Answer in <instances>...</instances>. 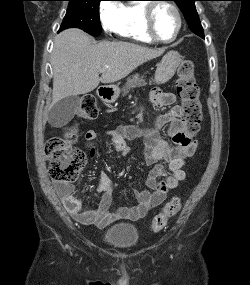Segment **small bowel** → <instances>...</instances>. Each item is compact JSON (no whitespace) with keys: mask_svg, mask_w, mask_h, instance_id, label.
<instances>
[{"mask_svg":"<svg viewBox=\"0 0 250 285\" xmlns=\"http://www.w3.org/2000/svg\"><path fill=\"white\" fill-rule=\"evenodd\" d=\"M150 99L158 107H167L173 103L174 97L171 93L154 89L150 94ZM166 125H168V135L171 141L164 139L157 132V128ZM99 134L93 129L85 134L86 147L91 157L96 155L93 142ZM106 134L111 138L116 152L121 156H126L129 152L128 141L144 138L145 162L151 167L146 179L147 189L135 191L138 201L136 206L120 207L111 212L113 185L105 173H100L98 178L97 188L102 196L95 209L84 207L83 202L73 194L74 188L70 183L58 182L56 190L65 209L73 219L84 225L106 227L117 220L136 221L144 218L152 208L165 200L168 191L175 189L179 182L186 178L183 166L196 149V142L184 130L179 106H174L168 112L157 116L151 128L143 129L134 125L118 126L108 130ZM162 163L167 164L170 173L168 176Z\"/></svg>","mask_w":250,"mask_h":285,"instance_id":"obj_1","label":"small bowel"}]
</instances>
